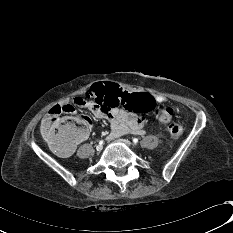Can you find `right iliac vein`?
Returning a JSON list of instances; mask_svg holds the SVG:
<instances>
[{
	"label": "right iliac vein",
	"instance_id": "63e3f726",
	"mask_svg": "<svg viewBox=\"0 0 233 233\" xmlns=\"http://www.w3.org/2000/svg\"><path fill=\"white\" fill-rule=\"evenodd\" d=\"M102 149H103V146H102V145H97V146H96V150H97V151L100 152Z\"/></svg>",
	"mask_w": 233,
	"mask_h": 233
}]
</instances>
